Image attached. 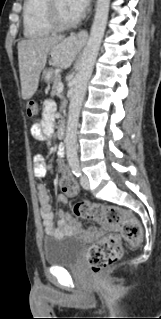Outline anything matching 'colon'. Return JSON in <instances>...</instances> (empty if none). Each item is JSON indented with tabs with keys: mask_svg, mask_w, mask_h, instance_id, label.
Masks as SVG:
<instances>
[{
	"mask_svg": "<svg viewBox=\"0 0 161 319\" xmlns=\"http://www.w3.org/2000/svg\"><path fill=\"white\" fill-rule=\"evenodd\" d=\"M31 119H38L41 113L38 103H29L26 109ZM64 190L74 187L67 177L61 179ZM77 216L90 220H104L110 224L118 225L121 237L130 244H138L141 241V227L139 221L126 215L123 209L117 205H102L89 202L77 203L74 207ZM121 237L111 234L92 244L86 252V262L90 271L95 275H101L106 269L115 265L122 257Z\"/></svg>",
	"mask_w": 161,
	"mask_h": 319,
	"instance_id": "1",
	"label": "colon"
}]
</instances>
